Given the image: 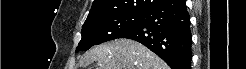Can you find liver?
<instances>
[{"instance_id":"1","label":"liver","mask_w":246,"mask_h":69,"mask_svg":"<svg viewBox=\"0 0 246 69\" xmlns=\"http://www.w3.org/2000/svg\"><path fill=\"white\" fill-rule=\"evenodd\" d=\"M97 62V69H168L167 64L142 44L117 39L85 53L83 67Z\"/></svg>"}]
</instances>
